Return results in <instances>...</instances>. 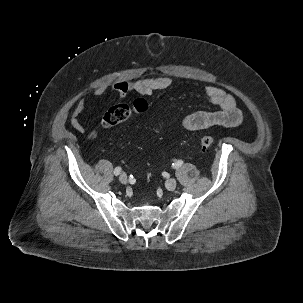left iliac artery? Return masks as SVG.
Masks as SVG:
<instances>
[{"label": "left iliac artery", "mask_w": 303, "mask_h": 303, "mask_svg": "<svg viewBox=\"0 0 303 303\" xmlns=\"http://www.w3.org/2000/svg\"><path fill=\"white\" fill-rule=\"evenodd\" d=\"M183 165V161L182 160H178L175 163L172 164V167L177 169L179 167H181Z\"/></svg>", "instance_id": "44dca946"}]
</instances>
